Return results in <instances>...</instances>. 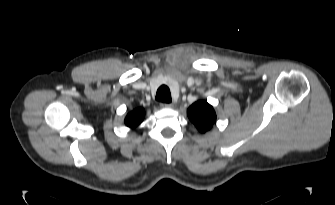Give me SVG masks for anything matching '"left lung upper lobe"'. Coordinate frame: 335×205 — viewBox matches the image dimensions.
I'll return each mask as SVG.
<instances>
[{"label":"left lung upper lobe","instance_id":"left-lung-upper-lobe-1","mask_svg":"<svg viewBox=\"0 0 335 205\" xmlns=\"http://www.w3.org/2000/svg\"><path fill=\"white\" fill-rule=\"evenodd\" d=\"M188 117L197 129L204 133L211 129L216 121V114L211 105L205 101H197L187 110Z\"/></svg>","mask_w":335,"mask_h":205}]
</instances>
